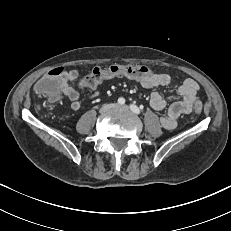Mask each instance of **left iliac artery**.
<instances>
[{"label":"left iliac artery","mask_w":231,"mask_h":231,"mask_svg":"<svg viewBox=\"0 0 231 231\" xmlns=\"http://www.w3.org/2000/svg\"><path fill=\"white\" fill-rule=\"evenodd\" d=\"M130 109H131V111L134 112L135 114H140V109H139L136 105L131 104V105H130Z\"/></svg>","instance_id":"obj_1"}]
</instances>
